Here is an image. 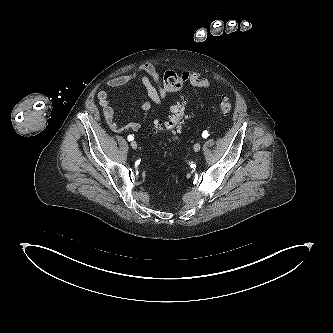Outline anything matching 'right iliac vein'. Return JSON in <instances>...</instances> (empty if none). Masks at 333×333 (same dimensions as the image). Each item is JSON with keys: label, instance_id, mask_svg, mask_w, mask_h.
I'll return each instance as SVG.
<instances>
[{"label": "right iliac vein", "instance_id": "1", "mask_svg": "<svg viewBox=\"0 0 333 333\" xmlns=\"http://www.w3.org/2000/svg\"><path fill=\"white\" fill-rule=\"evenodd\" d=\"M130 145H131V147H132L133 149H136V148H137V143H136L135 141H132V142L130 143Z\"/></svg>", "mask_w": 333, "mask_h": 333}]
</instances>
